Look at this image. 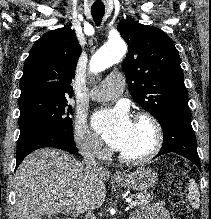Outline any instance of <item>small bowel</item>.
<instances>
[{
    "label": "small bowel",
    "mask_w": 211,
    "mask_h": 219,
    "mask_svg": "<svg viewBox=\"0 0 211 219\" xmlns=\"http://www.w3.org/2000/svg\"><path fill=\"white\" fill-rule=\"evenodd\" d=\"M133 219H169L167 209L161 203L140 210Z\"/></svg>",
    "instance_id": "c3829d8e"
}]
</instances>
